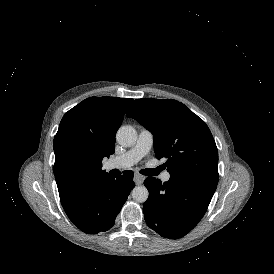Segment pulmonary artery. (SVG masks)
<instances>
[{"instance_id": "pulmonary-artery-1", "label": "pulmonary artery", "mask_w": 274, "mask_h": 274, "mask_svg": "<svg viewBox=\"0 0 274 274\" xmlns=\"http://www.w3.org/2000/svg\"><path fill=\"white\" fill-rule=\"evenodd\" d=\"M153 146V135L146 129H141L136 144L126 151L123 155L115 157L106 163V168L111 169H127L138 163L145 157ZM163 182H168L170 173L164 172L161 177Z\"/></svg>"}]
</instances>
